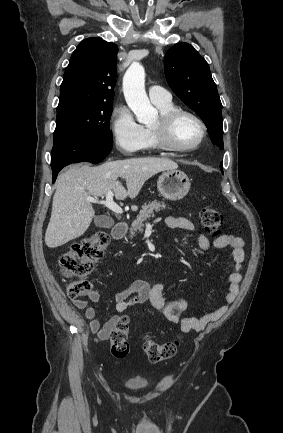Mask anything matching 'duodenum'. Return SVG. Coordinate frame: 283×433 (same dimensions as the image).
Here are the masks:
<instances>
[{
    "label": "duodenum",
    "mask_w": 283,
    "mask_h": 433,
    "mask_svg": "<svg viewBox=\"0 0 283 433\" xmlns=\"http://www.w3.org/2000/svg\"><path fill=\"white\" fill-rule=\"evenodd\" d=\"M127 232V225L124 222H117L112 228V237L115 240L123 238Z\"/></svg>",
    "instance_id": "410a0bca"
}]
</instances>
